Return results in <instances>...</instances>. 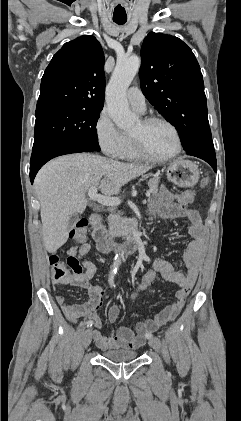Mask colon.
I'll list each match as a JSON object with an SVG mask.
<instances>
[{
  "label": "colon",
  "mask_w": 241,
  "mask_h": 421,
  "mask_svg": "<svg viewBox=\"0 0 241 421\" xmlns=\"http://www.w3.org/2000/svg\"><path fill=\"white\" fill-rule=\"evenodd\" d=\"M208 179L205 178L202 181L203 186H207ZM195 193L193 190H186L177 195V201L181 205H188L193 202ZM88 223L85 220L79 221L70 233V238L77 243H83L87 238ZM49 263L52 268V277L54 282H64L69 280L73 275L80 274L82 267L79 264L77 258L68 256L66 262L60 260L56 255H52L49 258ZM157 278V271L155 269L146 270L137 285L134 287L131 293V299H137L141 293L149 288Z\"/></svg>",
  "instance_id": "colon-1"
}]
</instances>
